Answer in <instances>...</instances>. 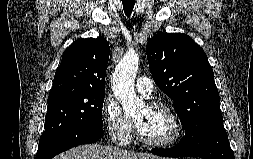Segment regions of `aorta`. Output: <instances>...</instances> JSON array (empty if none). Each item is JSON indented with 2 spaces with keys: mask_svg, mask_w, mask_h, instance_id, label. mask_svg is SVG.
<instances>
[{
  "mask_svg": "<svg viewBox=\"0 0 253 159\" xmlns=\"http://www.w3.org/2000/svg\"><path fill=\"white\" fill-rule=\"evenodd\" d=\"M139 66V57L129 51L120 60L113 74V92L125 114H134L144 106L142 98L134 91V81Z\"/></svg>",
  "mask_w": 253,
  "mask_h": 159,
  "instance_id": "aorta-1",
  "label": "aorta"
}]
</instances>
